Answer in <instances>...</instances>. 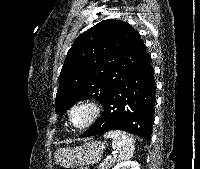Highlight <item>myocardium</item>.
<instances>
[{"label":"myocardium","instance_id":"myocardium-1","mask_svg":"<svg viewBox=\"0 0 200 169\" xmlns=\"http://www.w3.org/2000/svg\"><path fill=\"white\" fill-rule=\"evenodd\" d=\"M77 110H84L87 113L86 120L77 124L73 120V114ZM102 113L101 104L93 98H84L74 102L68 109V121L72 127L78 130H84L91 127L100 117Z\"/></svg>","mask_w":200,"mask_h":169}]
</instances>
